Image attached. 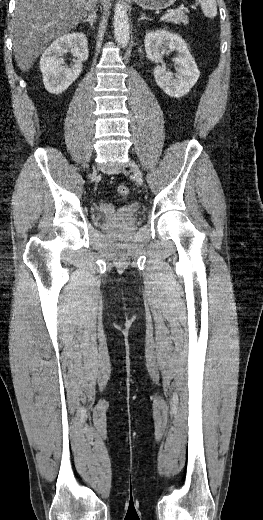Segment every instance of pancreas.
<instances>
[{"mask_svg":"<svg viewBox=\"0 0 263 520\" xmlns=\"http://www.w3.org/2000/svg\"><path fill=\"white\" fill-rule=\"evenodd\" d=\"M185 12H188L186 9ZM185 12L183 10H173L170 15L165 18L164 20L169 23H175V24H184L187 25L189 23L187 15H185Z\"/></svg>","mask_w":263,"mask_h":520,"instance_id":"cf45deb5","label":"pancreas"}]
</instances>
